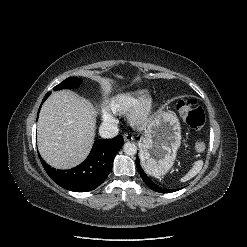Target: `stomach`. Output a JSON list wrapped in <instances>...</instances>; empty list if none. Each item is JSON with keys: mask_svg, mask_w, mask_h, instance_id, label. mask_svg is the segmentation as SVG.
<instances>
[{"mask_svg": "<svg viewBox=\"0 0 247 247\" xmlns=\"http://www.w3.org/2000/svg\"><path fill=\"white\" fill-rule=\"evenodd\" d=\"M181 145V126L172 112H159L141 139L140 161L152 176L166 174L173 166Z\"/></svg>", "mask_w": 247, "mask_h": 247, "instance_id": "obj_1", "label": "stomach"}]
</instances>
